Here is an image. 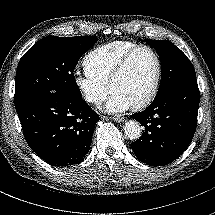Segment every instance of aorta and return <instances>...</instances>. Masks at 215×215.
<instances>
[{
    "label": "aorta",
    "mask_w": 215,
    "mask_h": 215,
    "mask_svg": "<svg viewBox=\"0 0 215 215\" xmlns=\"http://www.w3.org/2000/svg\"><path fill=\"white\" fill-rule=\"evenodd\" d=\"M125 135L130 140L138 139L141 135V126L135 120H129L125 123L124 126Z\"/></svg>",
    "instance_id": "aorta-1"
}]
</instances>
